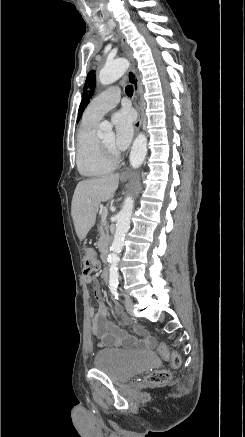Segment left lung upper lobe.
Segmentation results:
<instances>
[{
  "label": "left lung upper lobe",
  "instance_id": "left-lung-upper-lobe-1",
  "mask_svg": "<svg viewBox=\"0 0 245 437\" xmlns=\"http://www.w3.org/2000/svg\"><path fill=\"white\" fill-rule=\"evenodd\" d=\"M95 84H96V75H95V71L92 70L88 73L86 78V83L83 88L82 101L79 106V111H78L79 116L77 122H79L84 109L86 108V106L90 102V99L92 98V95L94 94Z\"/></svg>",
  "mask_w": 245,
  "mask_h": 437
}]
</instances>
